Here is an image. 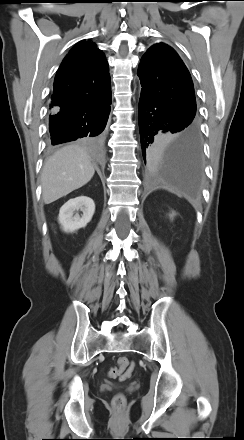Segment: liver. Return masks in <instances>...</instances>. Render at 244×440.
Masks as SVG:
<instances>
[{"label": "liver", "instance_id": "obj_1", "mask_svg": "<svg viewBox=\"0 0 244 440\" xmlns=\"http://www.w3.org/2000/svg\"><path fill=\"white\" fill-rule=\"evenodd\" d=\"M95 173L86 149L67 145L44 164L41 174L42 198L50 204L87 184Z\"/></svg>", "mask_w": 244, "mask_h": 440}]
</instances>
